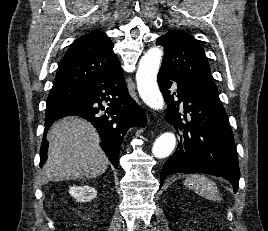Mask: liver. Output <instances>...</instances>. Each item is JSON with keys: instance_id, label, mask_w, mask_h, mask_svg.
Instances as JSON below:
<instances>
[{"instance_id": "obj_1", "label": "liver", "mask_w": 268, "mask_h": 231, "mask_svg": "<svg viewBox=\"0 0 268 231\" xmlns=\"http://www.w3.org/2000/svg\"><path fill=\"white\" fill-rule=\"evenodd\" d=\"M48 159L43 167L52 181L92 179L108 168V158L99 146L95 128L84 119L65 117L47 133Z\"/></svg>"}]
</instances>
